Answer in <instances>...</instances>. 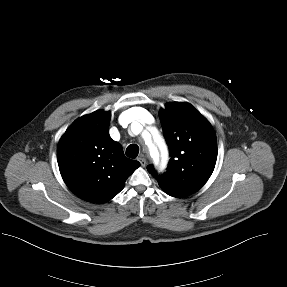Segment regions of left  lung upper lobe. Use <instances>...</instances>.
<instances>
[{"mask_svg": "<svg viewBox=\"0 0 287 287\" xmlns=\"http://www.w3.org/2000/svg\"><path fill=\"white\" fill-rule=\"evenodd\" d=\"M170 150L167 171L147 170L164 192L186 197L200 189L211 176L217 159V140L211 124L189 103L171 102L159 113Z\"/></svg>", "mask_w": 287, "mask_h": 287, "instance_id": "left-lung-upper-lobe-1", "label": "left lung upper lobe"}]
</instances>
